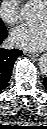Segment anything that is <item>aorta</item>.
Instances as JSON below:
<instances>
[{
  "label": "aorta",
  "instance_id": "obj_1",
  "mask_svg": "<svg viewBox=\"0 0 47 129\" xmlns=\"http://www.w3.org/2000/svg\"><path fill=\"white\" fill-rule=\"evenodd\" d=\"M36 8L32 4H26L20 11V15L24 20H32L35 18ZM39 66L44 72L47 70V57L44 55L39 60Z\"/></svg>",
  "mask_w": 47,
  "mask_h": 129
}]
</instances>
